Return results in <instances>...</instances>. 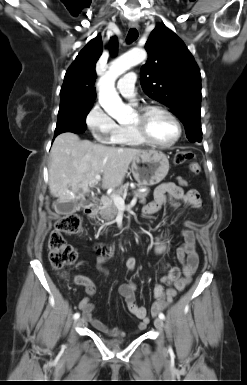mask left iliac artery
I'll return each mask as SVG.
<instances>
[{"mask_svg": "<svg viewBox=\"0 0 247 385\" xmlns=\"http://www.w3.org/2000/svg\"><path fill=\"white\" fill-rule=\"evenodd\" d=\"M159 318H161L162 320H164V319H165V315H164L163 313H160V314H159Z\"/></svg>", "mask_w": 247, "mask_h": 385, "instance_id": "1", "label": "left iliac artery"}]
</instances>
